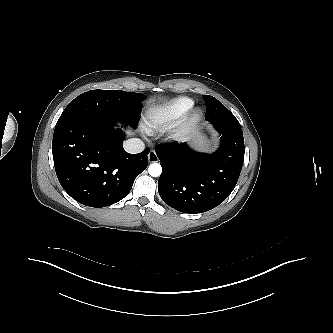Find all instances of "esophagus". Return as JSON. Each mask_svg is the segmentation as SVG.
<instances>
[{
  "label": "esophagus",
  "mask_w": 333,
  "mask_h": 333,
  "mask_svg": "<svg viewBox=\"0 0 333 333\" xmlns=\"http://www.w3.org/2000/svg\"><path fill=\"white\" fill-rule=\"evenodd\" d=\"M148 160L150 163H155L159 161L158 155L154 150H151L148 154Z\"/></svg>",
  "instance_id": "34e87169"
}]
</instances>
